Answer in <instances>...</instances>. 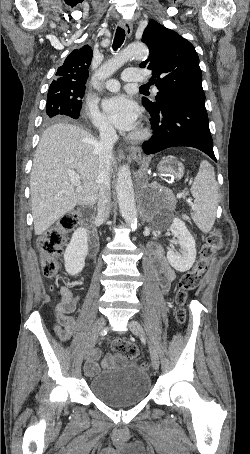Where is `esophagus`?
I'll return each instance as SVG.
<instances>
[{
  "instance_id": "34e87169",
  "label": "esophagus",
  "mask_w": 250,
  "mask_h": 454,
  "mask_svg": "<svg viewBox=\"0 0 250 454\" xmlns=\"http://www.w3.org/2000/svg\"><path fill=\"white\" fill-rule=\"evenodd\" d=\"M119 25H120V27H122L125 30L127 36L130 37L132 34V31H133L132 23L128 20L122 19L119 21ZM129 152H130L131 157L135 160H140L142 158V149L138 145L130 146ZM120 155L122 156V154H120Z\"/></svg>"
}]
</instances>
